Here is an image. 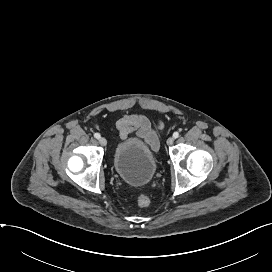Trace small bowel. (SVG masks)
Here are the masks:
<instances>
[{
	"label": "small bowel",
	"instance_id": "1",
	"mask_svg": "<svg viewBox=\"0 0 272 272\" xmlns=\"http://www.w3.org/2000/svg\"><path fill=\"white\" fill-rule=\"evenodd\" d=\"M116 129L121 140H125L130 133L136 132V135L140 139L145 141L153 150H157L159 132L163 129V123L158 122L154 126L144 115L127 114L118 120Z\"/></svg>",
	"mask_w": 272,
	"mask_h": 272
}]
</instances>
